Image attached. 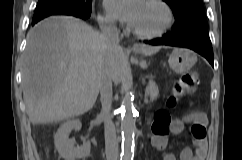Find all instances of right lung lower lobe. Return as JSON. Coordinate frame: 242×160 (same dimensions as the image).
<instances>
[{"instance_id":"1","label":"right lung lower lobe","mask_w":242,"mask_h":160,"mask_svg":"<svg viewBox=\"0 0 242 160\" xmlns=\"http://www.w3.org/2000/svg\"><path fill=\"white\" fill-rule=\"evenodd\" d=\"M90 16H88V17H78V18H81V19H88ZM41 20V19H40ZM40 20H34V21H32V26L33 25H35L38 21H40Z\"/></svg>"}]
</instances>
